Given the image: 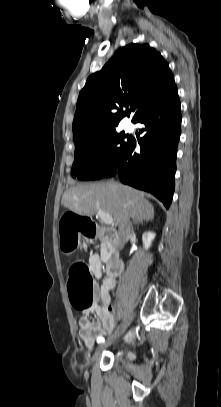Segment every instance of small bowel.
I'll use <instances>...</instances> for the list:
<instances>
[{
	"label": "small bowel",
	"mask_w": 221,
	"mask_h": 407,
	"mask_svg": "<svg viewBox=\"0 0 221 407\" xmlns=\"http://www.w3.org/2000/svg\"><path fill=\"white\" fill-rule=\"evenodd\" d=\"M89 270L96 280L102 278V261L98 254L91 255ZM116 285L115 277L106 276L103 278L101 284L95 288L91 307L78 321L79 336L88 348H92L99 337L110 334L115 327L111 291L115 289ZM89 313L95 314L97 320H90L88 318Z\"/></svg>",
	"instance_id": "1"
}]
</instances>
